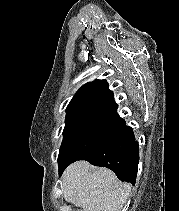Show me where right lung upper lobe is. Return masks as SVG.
<instances>
[{
    "mask_svg": "<svg viewBox=\"0 0 179 211\" xmlns=\"http://www.w3.org/2000/svg\"><path fill=\"white\" fill-rule=\"evenodd\" d=\"M67 116L83 112H117L113 92L106 80H95L83 85L70 101Z\"/></svg>",
    "mask_w": 179,
    "mask_h": 211,
    "instance_id": "cb5924a9",
    "label": "right lung upper lobe"
}]
</instances>
